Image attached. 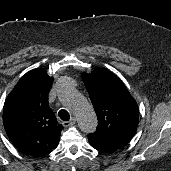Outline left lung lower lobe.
Returning a JSON list of instances; mask_svg holds the SVG:
<instances>
[{
	"label": "left lung lower lobe",
	"mask_w": 171,
	"mask_h": 171,
	"mask_svg": "<svg viewBox=\"0 0 171 171\" xmlns=\"http://www.w3.org/2000/svg\"><path fill=\"white\" fill-rule=\"evenodd\" d=\"M89 142L93 148H95L101 152L112 153V152L116 151V149H113L106 145L100 144L94 140L89 139Z\"/></svg>",
	"instance_id": "left-lung-lower-lobe-1"
}]
</instances>
